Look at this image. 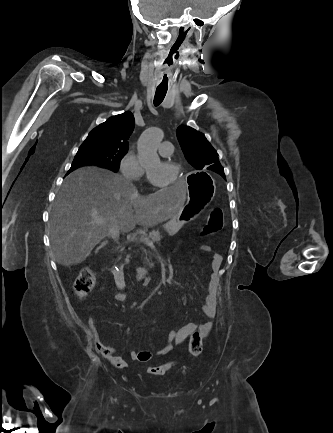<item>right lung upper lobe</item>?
<instances>
[{
	"instance_id": "obj_1",
	"label": "right lung upper lobe",
	"mask_w": 333,
	"mask_h": 433,
	"mask_svg": "<svg viewBox=\"0 0 333 433\" xmlns=\"http://www.w3.org/2000/svg\"><path fill=\"white\" fill-rule=\"evenodd\" d=\"M135 126L131 112L112 116L104 123L94 128L84 142L102 147L128 150V138Z\"/></svg>"
}]
</instances>
